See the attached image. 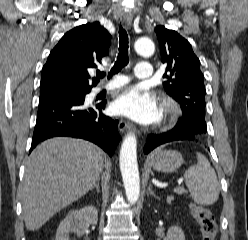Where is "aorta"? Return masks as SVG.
Listing matches in <instances>:
<instances>
[{
  "label": "aorta",
  "mask_w": 248,
  "mask_h": 240,
  "mask_svg": "<svg viewBox=\"0 0 248 240\" xmlns=\"http://www.w3.org/2000/svg\"><path fill=\"white\" fill-rule=\"evenodd\" d=\"M135 51L144 57L153 55L154 43L148 38L135 42ZM120 170L123 178L127 200L135 204L140 195V178L137 164V138L133 133L127 134L120 149Z\"/></svg>",
  "instance_id": "obj_1"
}]
</instances>
